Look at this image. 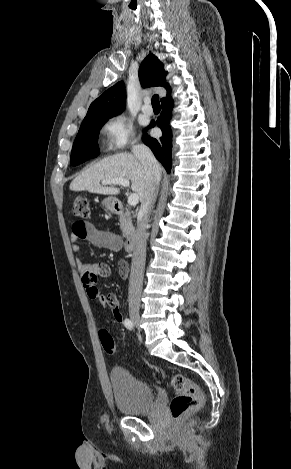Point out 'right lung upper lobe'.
<instances>
[{
	"instance_id": "obj_1",
	"label": "right lung upper lobe",
	"mask_w": 291,
	"mask_h": 469,
	"mask_svg": "<svg viewBox=\"0 0 291 469\" xmlns=\"http://www.w3.org/2000/svg\"><path fill=\"white\" fill-rule=\"evenodd\" d=\"M166 74L163 63L153 54H149L139 68V79L143 86H163L169 96L171 90L169 84H165ZM125 99L124 83L118 82L91 103L84 120L115 116L121 113Z\"/></svg>"
}]
</instances>
